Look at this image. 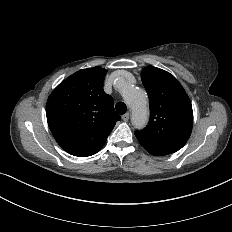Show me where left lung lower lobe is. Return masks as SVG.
I'll return each mask as SVG.
<instances>
[{
  "label": "left lung lower lobe",
  "instance_id": "0a47b994",
  "mask_svg": "<svg viewBox=\"0 0 232 232\" xmlns=\"http://www.w3.org/2000/svg\"><path fill=\"white\" fill-rule=\"evenodd\" d=\"M140 144L142 145V147L147 150L150 154L154 155V156H164V155H168L171 153H174L176 151L164 147V146H159V145H150V144H146V143H142L140 142Z\"/></svg>",
  "mask_w": 232,
  "mask_h": 232
}]
</instances>
